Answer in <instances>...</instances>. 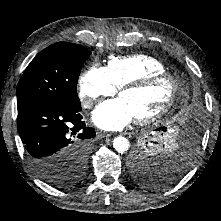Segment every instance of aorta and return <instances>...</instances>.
Returning a JSON list of instances; mask_svg holds the SVG:
<instances>
[{
    "mask_svg": "<svg viewBox=\"0 0 221 221\" xmlns=\"http://www.w3.org/2000/svg\"><path fill=\"white\" fill-rule=\"evenodd\" d=\"M113 147L118 153H124L129 149L130 143L127 138L123 136H117L113 140Z\"/></svg>",
    "mask_w": 221,
    "mask_h": 221,
    "instance_id": "obj_1",
    "label": "aorta"
}]
</instances>
